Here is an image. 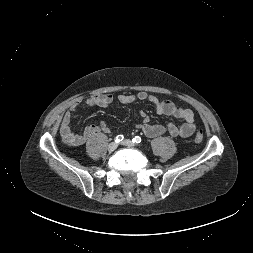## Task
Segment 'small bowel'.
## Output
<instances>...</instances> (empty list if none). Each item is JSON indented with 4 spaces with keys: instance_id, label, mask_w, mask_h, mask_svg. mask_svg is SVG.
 Returning <instances> with one entry per match:
<instances>
[{
    "instance_id": "c3829d8e",
    "label": "small bowel",
    "mask_w": 253,
    "mask_h": 253,
    "mask_svg": "<svg viewBox=\"0 0 253 253\" xmlns=\"http://www.w3.org/2000/svg\"><path fill=\"white\" fill-rule=\"evenodd\" d=\"M149 101L160 115L175 117L182 121L180 126L173 123L167 125L150 124L149 118L144 111L140 112L141 122L137 124L139 128L148 137H158L168 134L172 137L187 138L195 131L194 114L191 110L177 106L169 100H161L156 96L149 95L146 92H139L136 95L121 94L118 96V101L122 104H131L136 101ZM113 102L111 94H94L84 101L76 100L71 104L68 111L62 118L60 125V134L65 144L72 147L83 145L89 137L98 131L108 133L110 128L105 122L100 125L89 124L82 133H75L71 128V120L73 113L78 111L82 105L87 107H108Z\"/></svg>"
}]
</instances>
